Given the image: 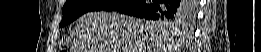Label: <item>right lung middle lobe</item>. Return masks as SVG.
I'll return each mask as SVG.
<instances>
[{
    "mask_svg": "<svg viewBox=\"0 0 261 52\" xmlns=\"http://www.w3.org/2000/svg\"><path fill=\"white\" fill-rule=\"evenodd\" d=\"M114 3H116L114 0H67L62 9L63 18L59 26H66L86 12L103 10ZM184 4L188 10H191L190 1H184ZM155 20L162 21L171 27L184 22L181 16L175 18L158 17Z\"/></svg>",
    "mask_w": 261,
    "mask_h": 52,
    "instance_id": "right-lung-middle-lobe-1",
    "label": "right lung middle lobe"
}]
</instances>
